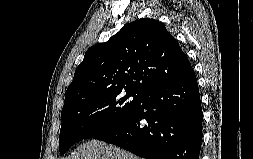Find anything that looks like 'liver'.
<instances>
[{
  "instance_id": "obj_1",
  "label": "liver",
  "mask_w": 253,
  "mask_h": 159,
  "mask_svg": "<svg viewBox=\"0 0 253 159\" xmlns=\"http://www.w3.org/2000/svg\"><path fill=\"white\" fill-rule=\"evenodd\" d=\"M66 159H142L134 154L98 140H91L80 145Z\"/></svg>"
}]
</instances>
